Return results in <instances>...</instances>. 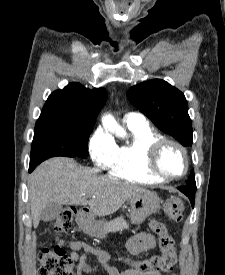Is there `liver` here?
<instances>
[{
  "label": "liver",
  "mask_w": 225,
  "mask_h": 275,
  "mask_svg": "<svg viewBox=\"0 0 225 275\" xmlns=\"http://www.w3.org/2000/svg\"><path fill=\"white\" fill-rule=\"evenodd\" d=\"M29 204L34 228L49 202L60 205H89L92 214L107 216L118 211L133 195L145 188L122 182L77 164L71 158L55 157L40 164L30 175ZM89 198V200H87Z\"/></svg>",
  "instance_id": "liver-1"
}]
</instances>
